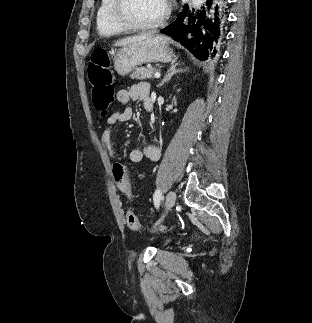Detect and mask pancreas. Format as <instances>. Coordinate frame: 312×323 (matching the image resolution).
Wrapping results in <instances>:
<instances>
[{"label":"pancreas","mask_w":312,"mask_h":323,"mask_svg":"<svg viewBox=\"0 0 312 323\" xmlns=\"http://www.w3.org/2000/svg\"><path fill=\"white\" fill-rule=\"evenodd\" d=\"M154 68H136L132 74H130V78L132 80H146V78H154L153 72Z\"/></svg>","instance_id":"pancreas-1"}]
</instances>
